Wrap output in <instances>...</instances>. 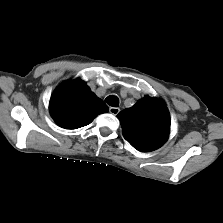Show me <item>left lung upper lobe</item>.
<instances>
[{
    "label": "left lung upper lobe",
    "mask_w": 223,
    "mask_h": 223,
    "mask_svg": "<svg viewBox=\"0 0 223 223\" xmlns=\"http://www.w3.org/2000/svg\"><path fill=\"white\" fill-rule=\"evenodd\" d=\"M124 138L137 150L149 152L161 147L170 132L169 111L161 100L145 98L117 115Z\"/></svg>",
    "instance_id": "left-lung-upper-lobe-1"
}]
</instances>
